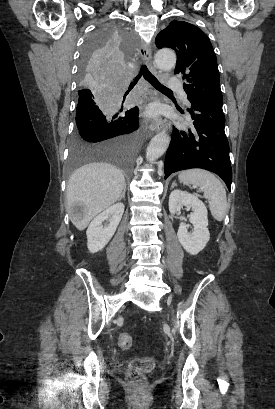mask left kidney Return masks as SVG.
<instances>
[{"label":"left kidney","instance_id":"1","mask_svg":"<svg viewBox=\"0 0 275 409\" xmlns=\"http://www.w3.org/2000/svg\"><path fill=\"white\" fill-rule=\"evenodd\" d=\"M182 207H190L193 213L190 215V223L194 229L188 233L185 223H180L177 237L185 251L190 255H197L203 251L210 239L208 227L207 209L202 200L195 194H189L185 190H172L169 196V211L172 215H180Z\"/></svg>","mask_w":275,"mask_h":409}]
</instances>
